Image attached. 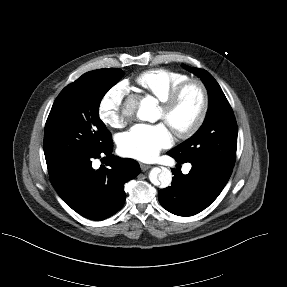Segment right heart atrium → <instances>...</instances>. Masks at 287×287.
Masks as SVG:
<instances>
[{"label":"right heart atrium","instance_id":"1","mask_svg":"<svg viewBox=\"0 0 287 287\" xmlns=\"http://www.w3.org/2000/svg\"><path fill=\"white\" fill-rule=\"evenodd\" d=\"M127 94V84L119 82L102 96L98 104V116L105 125L112 128H120L124 125L122 106Z\"/></svg>","mask_w":287,"mask_h":287}]
</instances>
